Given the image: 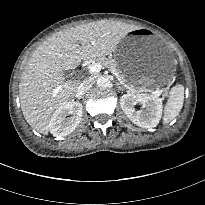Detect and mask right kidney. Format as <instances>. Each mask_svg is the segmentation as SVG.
<instances>
[{
    "mask_svg": "<svg viewBox=\"0 0 205 205\" xmlns=\"http://www.w3.org/2000/svg\"><path fill=\"white\" fill-rule=\"evenodd\" d=\"M83 106L80 102H64L56 109L49 121V131L54 137H63L75 130L82 119ZM71 115L70 117H67Z\"/></svg>",
    "mask_w": 205,
    "mask_h": 205,
    "instance_id": "1",
    "label": "right kidney"
}]
</instances>
